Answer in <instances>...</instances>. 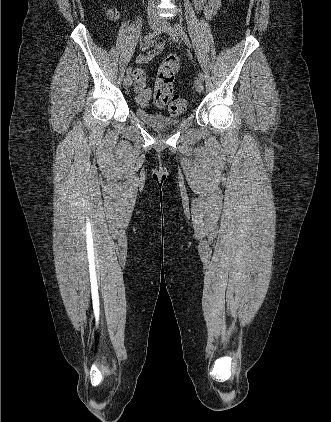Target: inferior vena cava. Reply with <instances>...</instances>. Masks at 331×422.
<instances>
[{"label": "inferior vena cava", "mask_w": 331, "mask_h": 422, "mask_svg": "<svg viewBox=\"0 0 331 422\" xmlns=\"http://www.w3.org/2000/svg\"><path fill=\"white\" fill-rule=\"evenodd\" d=\"M149 2H150V6H153L155 3V0H149Z\"/></svg>", "instance_id": "602c4592"}]
</instances>
